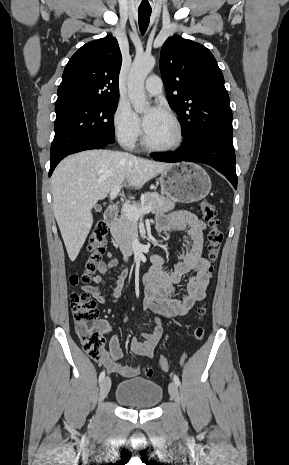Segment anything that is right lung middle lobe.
Segmentation results:
<instances>
[{
	"label": "right lung middle lobe",
	"instance_id": "1",
	"mask_svg": "<svg viewBox=\"0 0 289 465\" xmlns=\"http://www.w3.org/2000/svg\"><path fill=\"white\" fill-rule=\"evenodd\" d=\"M117 99L73 102L55 106V136L50 161L91 140L114 142L113 114Z\"/></svg>",
	"mask_w": 289,
	"mask_h": 465
}]
</instances>
